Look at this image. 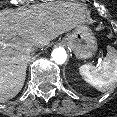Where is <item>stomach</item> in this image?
<instances>
[{
  "mask_svg": "<svg viewBox=\"0 0 117 117\" xmlns=\"http://www.w3.org/2000/svg\"><path fill=\"white\" fill-rule=\"evenodd\" d=\"M63 41L78 59L90 58L97 50L96 38L91 29L84 25L76 27Z\"/></svg>",
  "mask_w": 117,
  "mask_h": 117,
  "instance_id": "stomach-1",
  "label": "stomach"
}]
</instances>
